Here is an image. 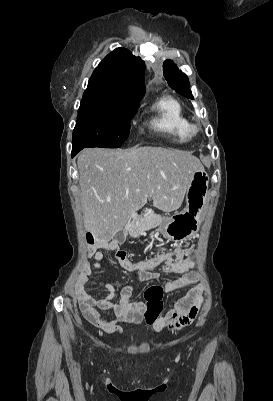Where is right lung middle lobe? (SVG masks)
I'll return each instance as SVG.
<instances>
[{"label":"right lung middle lobe","mask_w":273,"mask_h":401,"mask_svg":"<svg viewBox=\"0 0 273 401\" xmlns=\"http://www.w3.org/2000/svg\"><path fill=\"white\" fill-rule=\"evenodd\" d=\"M138 106L82 98L73 131V147L118 148L129 135Z\"/></svg>","instance_id":"dd1d6c3e"}]
</instances>
